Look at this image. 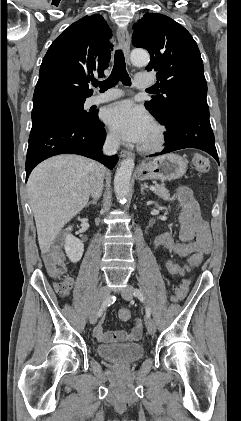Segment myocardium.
<instances>
[{"mask_svg":"<svg viewBox=\"0 0 241 421\" xmlns=\"http://www.w3.org/2000/svg\"><path fill=\"white\" fill-rule=\"evenodd\" d=\"M153 138L147 143L139 146V150L144 153H154L160 151L166 141V129L163 125L155 122L152 124Z\"/></svg>","mask_w":241,"mask_h":421,"instance_id":"obj_1","label":"myocardium"}]
</instances>
